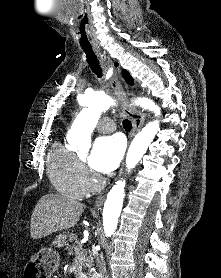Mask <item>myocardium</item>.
I'll return each mask as SVG.
<instances>
[{"instance_id": "f54148a6", "label": "myocardium", "mask_w": 221, "mask_h": 278, "mask_svg": "<svg viewBox=\"0 0 221 278\" xmlns=\"http://www.w3.org/2000/svg\"><path fill=\"white\" fill-rule=\"evenodd\" d=\"M84 178L86 187L90 189H98L103 186V180L87 170H85Z\"/></svg>"}]
</instances>
